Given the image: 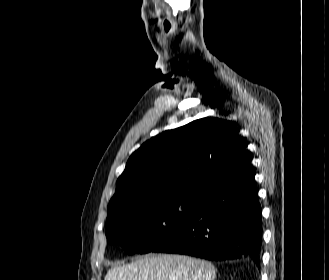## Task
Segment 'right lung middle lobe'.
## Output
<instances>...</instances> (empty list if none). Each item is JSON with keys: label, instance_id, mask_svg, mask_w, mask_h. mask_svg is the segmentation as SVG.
I'll list each match as a JSON object with an SVG mask.
<instances>
[{"label": "right lung middle lobe", "instance_id": "1", "mask_svg": "<svg viewBox=\"0 0 329 280\" xmlns=\"http://www.w3.org/2000/svg\"><path fill=\"white\" fill-rule=\"evenodd\" d=\"M199 203L200 197H147L111 205L107 242L128 254L151 252L179 230Z\"/></svg>", "mask_w": 329, "mask_h": 280}]
</instances>
